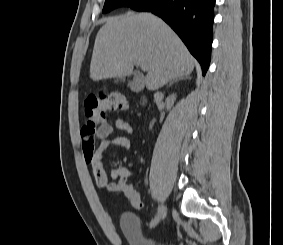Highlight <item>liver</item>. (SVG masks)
I'll return each mask as SVG.
<instances>
[{
    "instance_id": "6515ba94",
    "label": "liver",
    "mask_w": 283,
    "mask_h": 245,
    "mask_svg": "<svg viewBox=\"0 0 283 245\" xmlns=\"http://www.w3.org/2000/svg\"><path fill=\"white\" fill-rule=\"evenodd\" d=\"M135 62L147 65L144 83L148 90L190 75L195 65L176 33L153 14L128 12L108 18L95 39L90 78L128 76Z\"/></svg>"
}]
</instances>
